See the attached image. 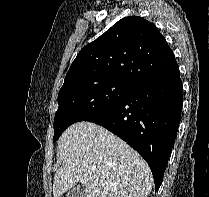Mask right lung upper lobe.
Returning <instances> with one entry per match:
<instances>
[{"label": "right lung upper lobe", "instance_id": "obj_1", "mask_svg": "<svg viewBox=\"0 0 209 197\" xmlns=\"http://www.w3.org/2000/svg\"><path fill=\"white\" fill-rule=\"evenodd\" d=\"M175 63L173 51L153 23L125 17L78 53L62 87L102 80L136 87Z\"/></svg>", "mask_w": 209, "mask_h": 197}]
</instances>
